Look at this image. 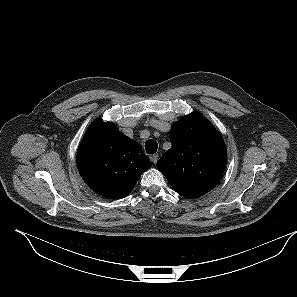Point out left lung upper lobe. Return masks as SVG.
I'll list each match as a JSON object with an SVG mask.
<instances>
[{"label":"left lung upper lobe","mask_w":297,"mask_h":297,"mask_svg":"<svg viewBox=\"0 0 297 297\" xmlns=\"http://www.w3.org/2000/svg\"><path fill=\"white\" fill-rule=\"evenodd\" d=\"M172 147L157 162L173 189L186 198L211 191L226 167L227 149L218 131L200 114L191 113L170 131Z\"/></svg>","instance_id":"left-lung-upper-lobe-1"}]
</instances>
